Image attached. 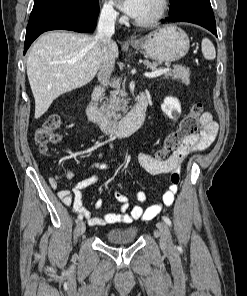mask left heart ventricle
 <instances>
[{"mask_svg":"<svg viewBox=\"0 0 247 296\" xmlns=\"http://www.w3.org/2000/svg\"><path fill=\"white\" fill-rule=\"evenodd\" d=\"M156 9H157L156 0H147L142 13L136 19L146 20L155 13Z\"/></svg>","mask_w":247,"mask_h":296,"instance_id":"1","label":"left heart ventricle"}]
</instances>
